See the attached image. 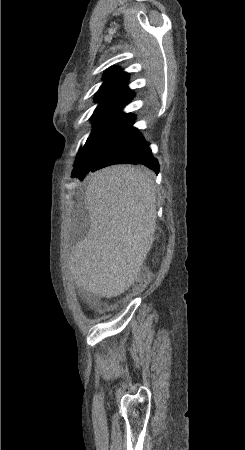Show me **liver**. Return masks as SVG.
I'll use <instances>...</instances> for the list:
<instances>
[{
	"instance_id": "1",
	"label": "liver",
	"mask_w": 245,
	"mask_h": 450,
	"mask_svg": "<svg viewBox=\"0 0 245 450\" xmlns=\"http://www.w3.org/2000/svg\"><path fill=\"white\" fill-rule=\"evenodd\" d=\"M156 194L144 168L115 165L90 174L85 192L90 230L69 257L79 287L111 298L131 286L154 242Z\"/></svg>"
}]
</instances>
